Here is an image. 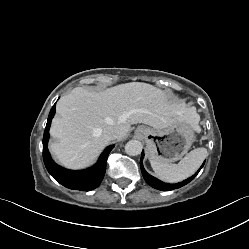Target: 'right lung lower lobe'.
Wrapping results in <instances>:
<instances>
[{"mask_svg":"<svg viewBox=\"0 0 249 249\" xmlns=\"http://www.w3.org/2000/svg\"><path fill=\"white\" fill-rule=\"evenodd\" d=\"M55 114V104L53 105L46 124L43 136V160L48 172L63 186L69 189L90 191L100 185L105 175V168L108 155L114 145L107 147L101 154L98 162L85 170H68L57 165L51 158L47 143L49 140V128L51 120Z\"/></svg>","mask_w":249,"mask_h":249,"instance_id":"right-lung-lower-lobe-1","label":"right lung lower lobe"}]
</instances>
